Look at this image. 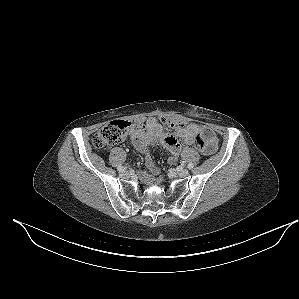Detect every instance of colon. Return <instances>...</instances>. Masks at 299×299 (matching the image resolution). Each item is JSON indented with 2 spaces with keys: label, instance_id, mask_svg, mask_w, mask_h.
<instances>
[{
  "label": "colon",
  "instance_id": "1",
  "mask_svg": "<svg viewBox=\"0 0 299 299\" xmlns=\"http://www.w3.org/2000/svg\"><path fill=\"white\" fill-rule=\"evenodd\" d=\"M166 126L176 129L181 127L183 124L166 120H162ZM143 128V124L133 123L126 120H114L103 126L93 137V145L98 149H106L114 146L124 139H126L133 130ZM196 148L203 152L208 153L210 151L204 137L197 135L195 138Z\"/></svg>",
  "mask_w": 299,
  "mask_h": 299
}]
</instances>
